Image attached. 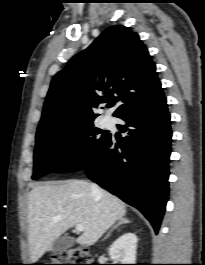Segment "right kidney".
Segmentation results:
<instances>
[{
    "instance_id": "right-kidney-1",
    "label": "right kidney",
    "mask_w": 205,
    "mask_h": 265,
    "mask_svg": "<svg viewBox=\"0 0 205 265\" xmlns=\"http://www.w3.org/2000/svg\"><path fill=\"white\" fill-rule=\"evenodd\" d=\"M137 236L128 232L116 239L109 248V255L121 264H135L137 250Z\"/></svg>"
}]
</instances>
